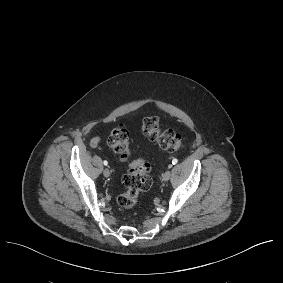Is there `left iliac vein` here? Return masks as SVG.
<instances>
[{"label": "left iliac vein", "instance_id": "4c4485c4", "mask_svg": "<svg viewBox=\"0 0 283 283\" xmlns=\"http://www.w3.org/2000/svg\"><path fill=\"white\" fill-rule=\"evenodd\" d=\"M170 177H171V171L168 170L163 174L162 181L166 182L170 179Z\"/></svg>", "mask_w": 283, "mask_h": 283}]
</instances>
